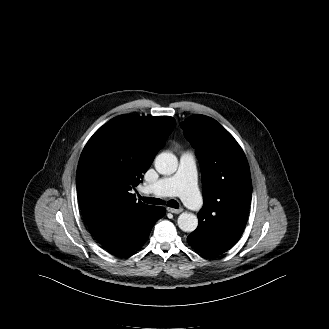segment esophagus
<instances>
[{
	"mask_svg": "<svg viewBox=\"0 0 329 329\" xmlns=\"http://www.w3.org/2000/svg\"><path fill=\"white\" fill-rule=\"evenodd\" d=\"M167 211L174 214H179L183 211V209L182 208L175 209V208L167 207Z\"/></svg>",
	"mask_w": 329,
	"mask_h": 329,
	"instance_id": "1",
	"label": "esophagus"
}]
</instances>
